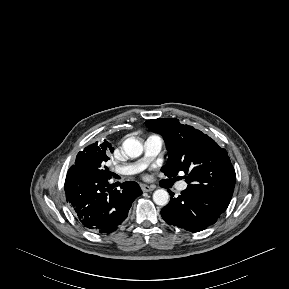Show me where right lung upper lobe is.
<instances>
[{
	"label": "right lung upper lobe",
	"mask_w": 289,
	"mask_h": 289,
	"mask_svg": "<svg viewBox=\"0 0 289 289\" xmlns=\"http://www.w3.org/2000/svg\"><path fill=\"white\" fill-rule=\"evenodd\" d=\"M102 145H104V146H111V144L110 143H108L107 141H104L103 143H102ZM113 148V147H112Z\"/></svg>",
	"instance_id": "obj_1"
}]
</instances>
